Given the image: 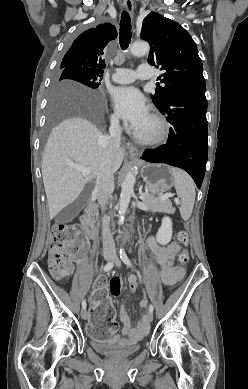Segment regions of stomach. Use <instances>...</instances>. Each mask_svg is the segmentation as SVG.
<instances>
[{
    "instance_id": "0dacf381",
    "label": "stomach",
    "mask_w": 248,
    "mask_h": 389,
    "mask_svg": "<svg viewBox=\"0 0 248 389\" xmlns=\"http://www.w3.org/2000/svg\"><path fill=\"white\" fill-rule=\"evenodd\" d=\"M141 176L152 194L161 193L173 185L171 167L165 164L142 163Z\"/></svg>"
}]
</instances>
